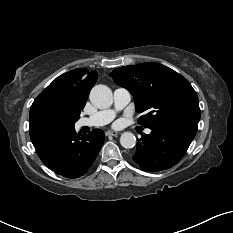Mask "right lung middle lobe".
Here are the masks:
<instances>
[{
  "label": "right lung middle lobe",
  "mask_w": 233,
  "mask_h": 233,
  "mask_svg": "<svg viewBox=\"0 0 233 233\" xmlns=\"http://www.w3.org/2000/svg\"><path fill=\"white\" fill-rule=\"evenodd\" d=\"M79 116L55 100H44L30 111L29 127L68 129L74 127Z\"/></svg>",
  "instance_id": "1"
}]
</instances>
